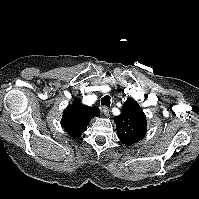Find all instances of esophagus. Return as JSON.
<instances>
[{
    "label": "esophagus",
    "mask_w": 199,
    "mask_h": 199,
    "mask_svg": "<svg viewBox=\"0 0 199 199\" xmlns=\"http://www.w3.org/2000/svg\"><path fill=\"white\" fill-rule=\"evenodd\" d=\"M101 110H102V112H103V114L105 115V116H108L109 115V109L106 107V106H103L102 108H101Z\"/></svg>",
    "instance_id": "34e87169"
}]
</instances>
